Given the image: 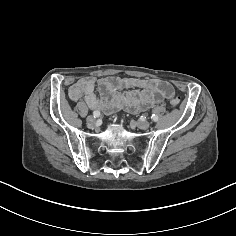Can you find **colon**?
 I'll return each instance as SVG.
<instances>
[{
	"mask_svg": "<svg viewBox=\"0 0 236 236\" xmlns=\"http://www.w3.org/2000/svg\"><path fill=\"white\" fill-rule=\"evenodd\" d=\"M179 104H180V98H178V97H175V98L171 99V101H170V105L172 107H176Z\"/></svg>",
	"mask_w": 236,
	"mask_h": 236,
	"instance_id": "colon-1",
	"label": "colon"
}]
</instances>
